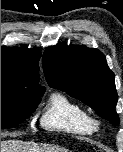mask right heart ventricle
<instances>
[{
    "label": "right heart ventricle",
    "instance_id": "e07e8e85",
    "mask_svg": "<svg viewBox=\"0 0 123 152\" xmlns=\"http://www.w3.org/2000/svg\"><path fill=\"white\" fill-rule=\"evenodd\" d=\"M40 121L47 130L75 136H89L95 131L88 111L59 92L50 96Z\"/></svg>",
    "mask_w": 123,
    "mask_h": 152
}]
</instances>
